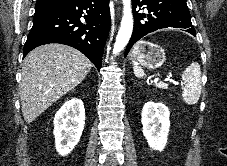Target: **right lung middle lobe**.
I'll return each instance as SVG.
<instances>
[{"mask_svg":"<svg viewBox=\"0 0 227 166\" xmlns=\"http://www.w3.org/2000/svg\"><path fill=\"white\" fill-rule=\"evenodd\" d=\"M46 8H48V7H43V6H36L35 7V12H39V11H42V10H44V9H46Z\"/></svg>","mask_w":227,"mask_h":166,"instance_id":"obj_1","label":"right lung middle lobe"}]
</instances>
